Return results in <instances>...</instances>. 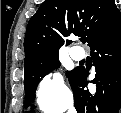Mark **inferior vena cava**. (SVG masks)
Here are the masks:
<instances>
[{
  "mask_svg": "<svg viewBox=\"0 0 121 113\" xmlns=\"http://www.w3.org/2000/svg\"><path fill=\"white\" fill-rule=\"evenodd\" d=\"M68 113H76V110L73 107H70Z\"/></svg>",
  "mask_w": 121,
  "mask_h": 113,
  "instance_id": "1",
  "label": "inferior vena cava"
}]
</instances>
